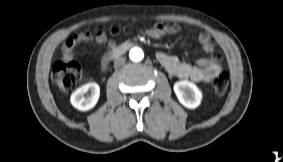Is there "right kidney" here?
Segmentation results:
<instances>
[{
	"mask_svg": "<svg viewBox=\"0 0 283 162\" xmlns=\"http://www.w3.org/2000/svg\"><path fill=\"white\" fill-rule=\"evenodd\" d=\"M100 96V87L97 83H87L76 91L70 97L71 104L80 111L92 109L98 102Z\"/></svg>",
	"mask_w": 283,
	"mask_h": 162,
	"instance_id": "right-kidney-1",
	"label": "right kidney"
}]
</instances>
